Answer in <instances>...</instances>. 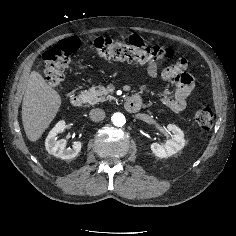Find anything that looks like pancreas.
<instances>
[{"instance_id": "cf45deb5", "label": "pancreas", "mask_w": 236, "mask_h": 236, "mask_svg": "<svg viewBox=\"0 0 236 236\" xmlns=\"http://www.w3.org/2000/svg\"><path fill=\"white\" fill-rule=\"evenodd\" d=\"M83 95L85 102H88L90 105L113 99V96L109 95L108 90L102 85L91 87Z\"/></svg>"}]
</instances>
